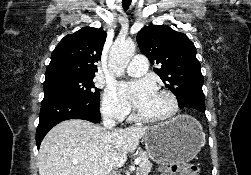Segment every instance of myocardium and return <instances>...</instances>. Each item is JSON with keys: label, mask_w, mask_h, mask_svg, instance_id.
<instances>
[{"label": "myocardium", "mask_w": 251, "mask_h": 175, "mask_svg": "<svg viewBox=\"0 0 251 175\" xmlns=\"http://www.w3.org/2000/svg\"><path fill=\"white\" fill-rule=\"evenodd\" d=\"M158 92L168 97L172 106L171 112L165 116H148L142 113L141 118L148 122L160 124H165L176 120L180 116L182 109L178 95L169 88H161L158 90Z\"/></svg>", "instance_id": "f54148a6"}]
</instances>
